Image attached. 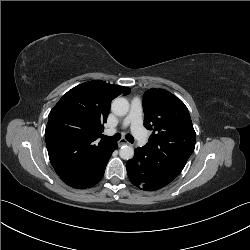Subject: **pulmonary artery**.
<instances>
[{"label": "pulmonary artery", "mask_w": 250, "mask_h": 250, "mask_svg": "<svg viewBox=\"0 0 250 250\" xmlns=\"http://www.w3.org/2000/svg\"><path fill=\"white\" fill-rule=\"evenodd\" d=\"M142 103L139 98H133L130 105V111L123 121V127L130 126L132 133L140 145L146 144L147 137L141 121ZM113 134L114 130H109Z\"/></svg>", "instance_id": "pulmonary-artery-1"}]
</instances>
